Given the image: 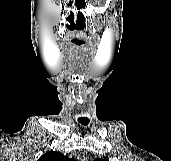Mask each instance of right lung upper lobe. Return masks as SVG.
<instances>
[{
  "mask_svg": "<svg viewBox=\"0 0 171 161\" xmlns=\"http://www.w3.org/2000/svg\"><path fill=\"white\" fill-rule=\"evenodd\" d=\"M38 161H75L74 159L64 156L60 152H48L41 156Z\"/></svg>",
  "mask_w": 171,
  "mask_h": 161,
  "instance_id": "obj_1",
  "label": "right lung upper lobe"
}]
</instances>
